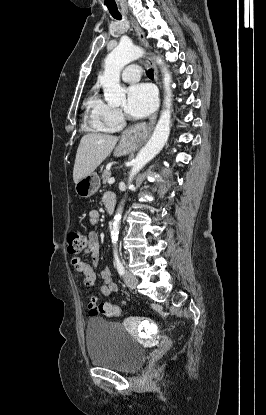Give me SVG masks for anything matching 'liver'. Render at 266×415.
<instances>
[{
	"mask_svg": "<svg viewBox=\"0 0 266 415\" xmlns=\"http://www.w3.org/2000/svg\"><path fill=\"white\" fill-rule=\"evenodd\" d=\"M118 137L89 133L84 135L77 149L74 168L73 180L76 184L80 179L90 175L110 155L114 149Z\"/></svg>",
	"mask_w": 266,
	"mask_h": 415,
	"instance_id": "1",
	"label": "liver"
}]
</instances>
